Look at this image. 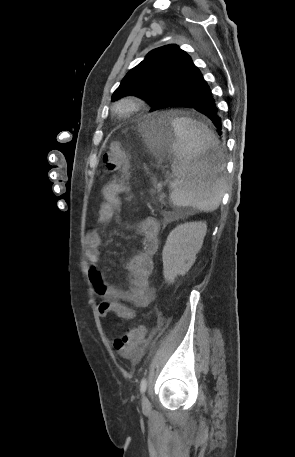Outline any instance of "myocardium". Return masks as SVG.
Here are the masks:
<instances>
[{
    "label": "myocardium",
    "mask_w": 295,
    "mask_h": 457,
    "mask_svg": "<svg viewBox=\"0 0 295 457\" xmlns=\"http://www.w3.org/2000/svg\"><path fill=\"white\" fill-rule=\"evenodd\" d=\"M142 107V101L136 96H126L116 102L114 111L124 117H128L138 112Z\"/></svg>",
    "instance_id": "obj_1"
}]
</instances>
